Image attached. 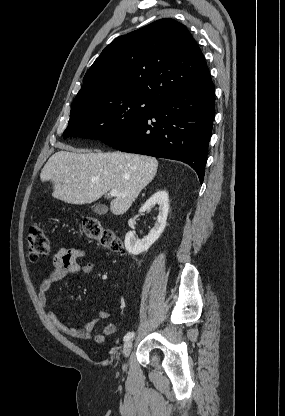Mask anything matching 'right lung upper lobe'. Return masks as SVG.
I'll return each mask as SVG.
<instances>
[{"label":"right lung upper lobe","instance_id":"obj_1","mask_svg":"<svg viewBox=\"0 0 285 416\" xmlns=\"http://www.w3.org/2000/svg\"><path fill=\"white\" fill-rule=\"evenodd\" d=\"M210 81L204 56L186 26L164 18L109 44L86 72L71 110L125 97L160 104Z\"/></svg>","mask_w":285,"mask_h":416}]
</instances>
